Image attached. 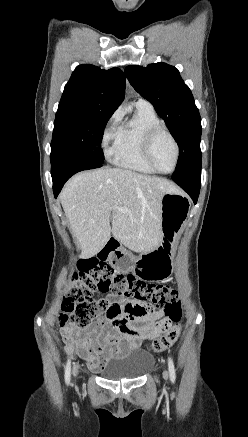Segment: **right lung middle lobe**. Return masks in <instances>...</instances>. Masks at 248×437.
<instances>
[{
  "label": "right lung middle lobe",
  "mask_w": 248,
  "mask_h": 437,
  "mask_svg": "<svg viewBox=\"0 0 248 437\" xmlns=\"http://www.w3.org/2000/svg\"><path fill=\"white\" fill-rule=\"evenodd\" d=\"M110 117L58 108L51 142V165L67 159L102 165L101 141Z\"/></svg>",
  "instance_id": "dd1d6c3e"
}]
</instances>
